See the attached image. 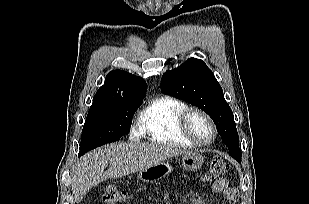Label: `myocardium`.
Wrapping results in <instances>:
<instances>
[{"instance_id": "1", "label": "myocardium", "mask_w": 309, "mask_h": 204, "mask_svg": "<svg viewBox=\"0 0 309 204\" xmlns=\"http://www.w3.org/2000/svg\"><path fill=\"white\" fill-rule=\"evenodd\" d=\"M194 113L200 114L201 116H203L207 122L209 123L211 130H212V137L210 140L208 141H200L199 139H197L194 134L192 133L191 129H190V125H189V120H190V116ZM179 128L181 130V132L183 133V135L194 145L197 146H208L211 145L216 137H217V127L213 121V119L211 118V116L204 110H202L201 108L198 107H187L185 108L180 117H179Z\"/></svg>"}]
</instances>
